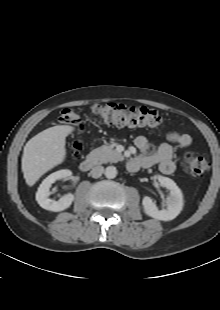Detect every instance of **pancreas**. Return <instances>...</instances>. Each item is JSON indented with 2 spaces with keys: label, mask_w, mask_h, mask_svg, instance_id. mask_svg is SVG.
Segmentation results:
<instances>
[{
  "label": "pancreas",
  "mask_w": 220,
  "mask_h": 310,
  "mask_svg": "<svg viewBox=\"0 0 220 310\" xmlns=\"http://www.w3.org/2000/svg\"><path fill=\"white\" fill-rule=\"evenodd\" d=\"M88 158L95 164H103L107 162H118L123 160V156L110 146H101L90 152Z\"/></svg>",
  "instance_id": "pancreas-1"
}]
</instances>
